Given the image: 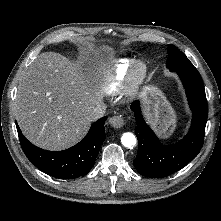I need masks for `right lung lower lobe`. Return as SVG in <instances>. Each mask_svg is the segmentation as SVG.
I'll list each match as a JSON object with an SVG mask.
<instances>
[{
	"label": "right lung lower lobe",
	"instance_id": "right-lung-lower-lobe-1",
	"mask_svg": "<svg viewBox=\"0 0 221 221\" xmlns=\"http://www.w3.org/2000/svg\"><path fill=\"white\" fill-rule=\"evenodd\" d=\"M102 117L90 128L87 135L75 146L64 151H47L31 144L16 124L21 147L30 160L46 174L60 178L73 179L86 175L94 165L100 147L106 139Z\"/></svg>",
	"mask_w": 221,
	"mask_h": 221
}]
</instances>
